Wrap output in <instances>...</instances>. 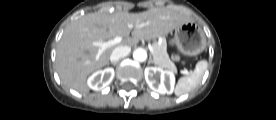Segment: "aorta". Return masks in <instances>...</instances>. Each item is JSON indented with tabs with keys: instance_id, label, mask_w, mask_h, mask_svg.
I'll list each match as a JSON object with an SVG mask.
<instances>
[{
	"instance_id": "1",
	"label": "aorta",
	"mask_w": 276,
	"mask_h": 120,
	"mask_svg": "<svg viewBox=\"0 0 276 120\" xmlns=\"http://www.w3.org/2000/svg\"><path fill=\"white\" fill-rule=\"evenodd\" d=\"M133 58L138 62H144L147 59V52L142 48H137L133 52Z\"/></svg>"
}]
</instances>
